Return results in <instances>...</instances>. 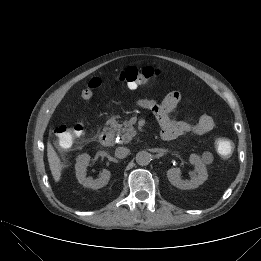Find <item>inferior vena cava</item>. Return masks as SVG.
<instances>
[{"instance_id": "602c4592", "label": "inferior vena cava", "mask_w": 261, "mask_h": 261, "mask_svg": "<svg viewBox=\"0 0 261 261\" xmlns=\"http://www.w3.org/2000/svg\"><path fill=\"white\" fill-rule=\"evenodd\" d=\"M130 150L126 147H118L115 150V156L117 158L123 159L129 154Z\"/></svg>"}]
</instances>
